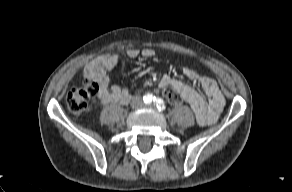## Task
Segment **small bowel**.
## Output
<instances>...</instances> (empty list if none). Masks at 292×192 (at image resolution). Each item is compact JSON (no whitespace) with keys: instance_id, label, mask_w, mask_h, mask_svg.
I'll return each instance as SVG.
<instances>
[{"instance_id":"1","label":"small bowel","mask_w":292,"mask_h":192,"mask_svg":"<svg viewBox=\"0 0 292 192\" xmlns=\"http://www.w3.org/2000/svg\"><path fill=\"white\" fill-rule=\"evenodd\" d=\"M126 55L129 58H136L139 55L145 58H151L155 55V51L151 48H144L142 50L132 48L126 52ZM118 60L119 56L114 54L93 62L85 68V78L87 80H95L100 84L97 101L102 104L122 105L130 99L131 93L129 88L110 85L108 73L116 67ZM182 71L189 81L200 84L208 100H205L198 94L192 85L169 76H164L161 79L160 87L164 91L171 90L175 92L182 100L188 103L194 111L200 125L207 126L213 124L217 121L225 105L224 96L217 82L192 67H184Z\"/></svg>"}]
</instances>
